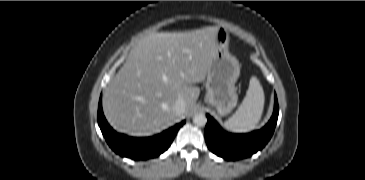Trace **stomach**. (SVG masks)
Here are the masks:
<instances>
[{
  "instance_id": "0dacf381",
  "label": "stomach",
  "mask_w": 365,
  "mask_h": 180,
  "mask_svg": "<svg viewBox=\"0 0 365 180\" xmlns=\"http://www.w3.org/2000/svg\"><path fill=\"white\" fill-rule=\"evenodd\" d=\"M229 34L224 27L216 32V50L212 56L206 83L205 102L221 115H227L236 106L238 95L235 83L240 75L236 57L228 51Z\"/></svg>"
}]
</instances>
